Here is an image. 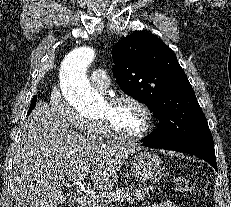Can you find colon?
Instances as JSON below:
<instances>
[{
    "instance_id": "obj_1",
    "label": "colon",
    "mask_w": 231,
    "mask_h": 207,
    "mask_svg": "<svg viewBox=\"0 0 231 207\" xmlns=\"http://www.w3.org/2000/svg\"><path fill=\"white\" fill-rule=\"evenodd\" d=\"M175 186L178 191L190 196L193 192V187L190 180L186 177L180 176L175 179Z\"/></svg>"
}]
</instances>
